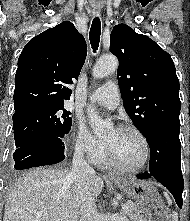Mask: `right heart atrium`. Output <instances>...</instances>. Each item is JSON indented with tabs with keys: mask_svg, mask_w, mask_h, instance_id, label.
Here are the masks:
<instances>
[{
	"mask_svg": "<svg viewBox=\"0 0 190 221\" xmlns=\"http://www.w3.org/2000/svg\"><path fill=\"white\" fill-rule=\"evenodd\" d=\"M73 145L76 152L91 161L103 152L102 142L81 122L77 123L75 127Z\"/></svg>",
	"mask_w": 190,
	"mask_h": 221,
	"instance_id": "1",
	"label": "right heart atrium"
}]
</instances>
